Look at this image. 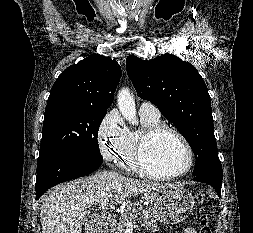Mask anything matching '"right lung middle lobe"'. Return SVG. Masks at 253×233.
Listing matches in <instances>:
<instances>
[{
	"instance_id": "obj_1",
	"label": "right lung middle lobe",
	"mask_w": 253,
	"mask_h": 233,
	"mask_svg": "<svg viewBox=\"0 0 253 233\" xmlns=\"http://www.w3.org/2000/svg\"><path fill=\"white\" fill-rule=\"evenodd\" d=\"M107 110L81 105L46 107L38 159L51 154L103 160L98 146V130Z\"/></svg>"
}]
</instances>
